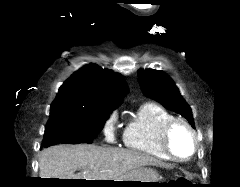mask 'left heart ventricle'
<instances>
[{
	"label": "left heart ventricle",
	"mask_w": 240,
	"mask_h": 187,
	"mask_svg": "<svg viewBox=\"0 0 240 187\" xmlns=\"http://www.w3.org/2000/svg\"><path fill=\"white\" fill-rule=\"evenodd\" d=\"M172 147L176 154L185 157L192 150L189 134L182 128H177L172 136Z\"/></svg>",
	"instance_id": "1"
}]
</instances>
